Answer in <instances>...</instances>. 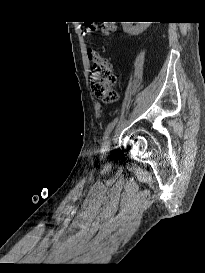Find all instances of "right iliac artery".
Segmentation results:
<instances>
[{"label":"right iliac artery","instance_id":"right-iliac-artery-1","mask_svg":"<svg viewBox=\"0 0 205 273\" xmlns=\"http://www.w3.org/2000/svg\"><path fill=\"white\" fill-rule=\"evenodd\" d=\"M118 121V118H115L106 128L104 136H103V142L106 141V139L108 138L109 134L111 133V131L113 130V128L115 127L116 123ZM102 150L104 151V146L102 148Z\"/></svg>","mask_w":205,"mask_h":273}]
</instances>
